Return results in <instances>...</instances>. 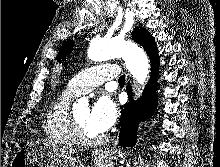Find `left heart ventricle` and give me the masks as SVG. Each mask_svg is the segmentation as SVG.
I'll return each instance as SVG.
<instances>
[{
    "label": "left heart ventricle",
    "mask_w": 220,
    "mask_h": 167,
    "mask_svg": "<svg viewBox=\"0 0 220 167\" xmlns=\"http://www.w3.org/2000/svg\"><path fill=\"white\" fill-rule=\"evenodd\" d=\"M76 118L80 124L81 130L83 134L87 138H96L101 135V133H98L95 131L89 122V109L87 107H81L79 109H76L74 111Z\"/></svg>",
    "instance_id": "b2bd125f"
}]
</instances>
